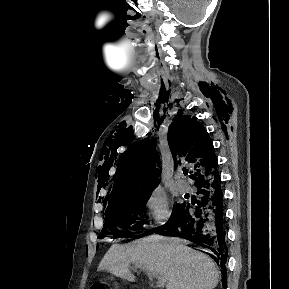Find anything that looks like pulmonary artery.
<instances>
[{
	"instance_id": "obj_1",
	"label": "pulmonary artery",
	"mask_w": 289,
	"mask_h": 289,
	"mask_svg": "<svg viewBox=\"0 0 289 289\" xmlns=\"http://www.w3.org/2000/svg\"><path fill=\"white\" fill-rule=\"evenodd\" d=\"M175 184L181 192H186L189 190V184L184 179H182L180 174L175 176Z\"/></svg>"
}]
</instances>
